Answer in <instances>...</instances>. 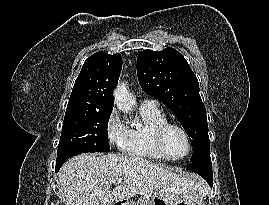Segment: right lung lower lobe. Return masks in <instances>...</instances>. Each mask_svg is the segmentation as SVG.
Returning <instances> with one entry per match:
<instances>
[{"mask_svg":"<svg viewBox=\"0 0 269 205\" xmlns=\"http://www.w3.org/2000/svg\"><path fill=\"white\" fill-rule=\"evenodd\" d=\"M88 151H82V150H77V149H67L63 150L59 153H57V159H56V172L60 169V167L65 163L66 160L71 158L72 156L81 154V153H86Z\"/></svg>","mask_w":269,"mask_h":205,"instance_id":"right-lung-lower-lobe-1","label":"right lung lower lobe"}]
</instances>
